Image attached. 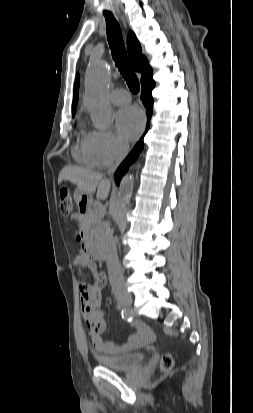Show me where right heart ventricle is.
<instances>
[{
    "label": "right heart ventricle",
    "mask_w": 253,
    "mask_h": 413,
    "mask_svg": "<svg viewBox=\"0 0 253 413\" xmlns=\"http://www.w3.org/2000/svg\"><path fill=\"white\" fill-rule=\"evenodd\" d=\"M88 136H89V133L81 136L78 145L74 149L73 154H74L75 159L79 163L84 164L88 167L95 168L100 165L93 151L90 148V145L88 143Z\"/></svg>",
    "instance_id": "obj_1"
}]
</instances>
